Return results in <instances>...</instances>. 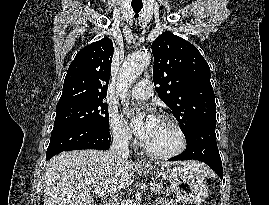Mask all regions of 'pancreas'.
<instances>
[{
	"mask_svg": "<svg viewBox=\"0 0 269 205\" xmlns=\"http://www.w3.org/2000/svg\"><path fill=\"white\" fill-rule=\"evenodd\" d=\"M155 205H177L174 201H170L169 199L166 198H161L156 201Z\"/></svg>",
	"mask_w": 269,
	"mask_h": 205,
	"instance_id": "cf45deb5",
	"label": "pancreas"
}]
</instances>
